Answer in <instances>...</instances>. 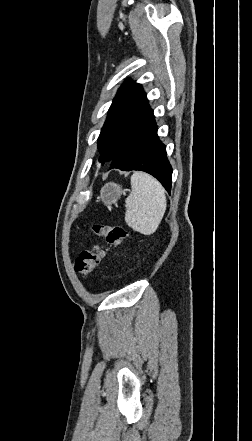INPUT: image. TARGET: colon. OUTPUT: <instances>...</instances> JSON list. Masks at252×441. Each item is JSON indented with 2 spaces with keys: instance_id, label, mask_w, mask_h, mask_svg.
Wrapping results in <instances>:
<instances>
[{
  "instance_id": "1",
  "label": "colon",
  "mask_w": 252,
  "mask_h": 441,
  "mask_svg": "<svg viewBox=\"0 0 252 441\" xmlns=\"http://www.w3.org/2000/svg\"><path fill=\"white\" fill-rule=\"evenodd\" d=\"M92 229L96 236L104 238L112 246L122 244L127 237L126 230L119 225L97 224ZM104 256L105 250L99 245H94L90 250L82 251L79 254L74 263V270L83 278H88Z\"/></svg>"
}]
</instances>
